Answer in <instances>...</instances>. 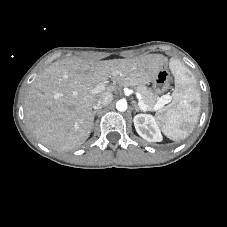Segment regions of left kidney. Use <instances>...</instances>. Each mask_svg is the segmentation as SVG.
Returning <instances> with one entry per match:
<instances>
[{
	"instance_id": "1",
	"label": "left kidney",
	"mask_w": 227,
	"mask_h": 227,
	"mask_svg": "<svg viewBox=\"0 0 227 227\" xmlns=\"http://www.w3.org/2000/svg\"><path fill=\"white\" fill-rule=\"evenodd\" d=\"M134 126L137 133L149 142L162 141V134L160 132L156 118L151 114H137L134 116Z\"/></svg>"
}]
</instances>
